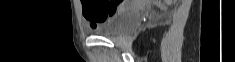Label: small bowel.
I'll use <instances>...</instances> for the list:
<instances>
[{
	"instance_id": "c3829d8e",
	"label": "small bowel",
	"mask_w": 235,
	"mask_h": 62,
	"mask_svg": "<svg viewBox=\"0 0 235 62\" xmlns=\"http://www.w3.org/2000/svg\"><path fill=\"white\" fill-rule=\"evenodd\" d=\"M83 12H84V7H83ZM84 14V13H83ZM85 17V16H84ZM85 19L88 21V23H89V26H90V28H92V29H96L100 24H97V25H95V24H93L87 17H85Z\"/></svg>"
}]
</instances>
